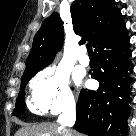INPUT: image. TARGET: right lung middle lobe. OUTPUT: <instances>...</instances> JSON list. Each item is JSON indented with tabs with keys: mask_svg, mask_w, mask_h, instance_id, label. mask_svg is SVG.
Masks as SVG:
<instances>
[{
	"mask_svg": "<svg viewBox=\"0 0 136 136\" xmlns=\"http://www.w3.org/2000/svg\"><path fill=\"white\" fill-rule=\"evenodd\" d=\"M35 74L33 75H30V76H27L25 78L22 79V82H21V89L24 88L26 86V84L28 83V81L34 76ZM24 113V90H21L19 92V95H18V98H17V101H16V106L13 110V115L14 116H18V115H21Z\"/></svg>",
	"mask_w": 136,
	"mask_h": 136,
	"instance_id": "dd1d6c3e",
	"label": "right lung middle lobe"
}]
</instances>
